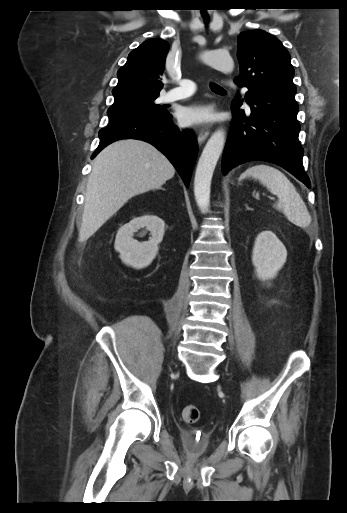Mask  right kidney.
<instances>
[{
    "instance_id": "right-kidney-1",
    "label": "right kidney",
    "mask_w": 347,
    "mask_h": 513,
    "mask_svg": "<svg viewBox=\"0 0 347 513\" xmlns=\"http://www.w3.org/2000/svg\"><path fill=\"white\" fill-rule=\"evenodd\" d=\"M141 228L151 232L148 241L139 242L134 233ZM165 223L155 215L136 217L123 225L117 232L114 248L120 253L123 263L136 269L150 265L158 253V244L163 240Z\"/></svg>"
}]
</instances>
